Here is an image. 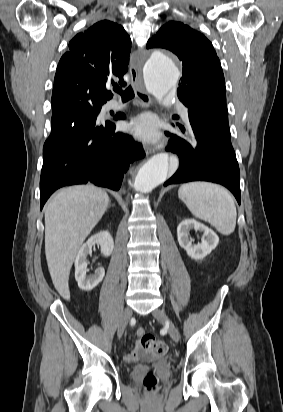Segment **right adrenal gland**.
<instances>
[{
    "mask_svg": "<svg viewBox=\"0 0 283 412\" xmlns=\"http://www.w3.org/2000/svg\"><path fill=\"white\" fill-rule=\"evenodd\" d=\"M110 206H114V204H111V202H109V207H110Z\"/></svg>",
    "mask_w": 283,
    "mask_h": 412,
    "instance_id": "obj_1",
    "label": "right adrenal gland"
}]
</instances>
